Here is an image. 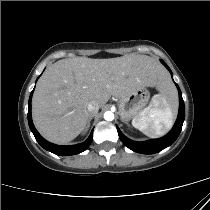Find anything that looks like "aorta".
<instances>
[{
    "mask_svg": "<svg viewBox=\"0 0 210 210\" xmlns=\"http://www.w3.org/2000/svg\"><path fill=\"white\" fill-rule=\"evenodd\" d=\"M104 119H105L106 121H112V120L114 119V113L111 112V111H106V112L104 113Z\"/></svg>",
    "mask_w": 210,
    "mask_h": 210,
    "instance_id": "aorta-1",
    "label": "aorta"
}]
</instances>
